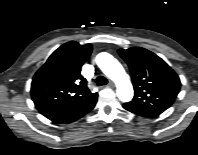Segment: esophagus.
I'll return each mask as SVG.
<instances>
[{"label": "esophagus", "instance_id": "1", "mask_svg": "<svg viewBox=\"0 0 198 155\" xmlns=\"http://www.w3.org/2000/svg\"><path fill=\"white\" fill-rule=\"evenodd\" d=\"M108 86H109V87H114V86H115V84H114V82H113V81H111V80H110V81H109V83H108Z\"/></svg>", "mask_w": 198, "mask_h": 155}]
</instances>
